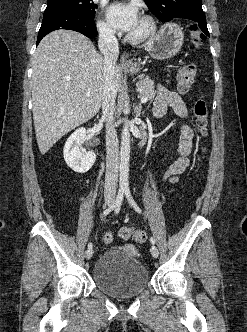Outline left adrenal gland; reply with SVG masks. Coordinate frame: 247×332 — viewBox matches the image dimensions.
<instances>
[{
	"mask_svg": "<svg viewBox=\"0 0 247 332\" xmlns=\"http://www.w3.org/2000/svg\"><path fill=\"white\" fill-rule=\"evenodd\" d=\"M142 106L141 104L138 105L137 107V115L139 116L141 114Z\"/></svg>",
	"mask_w": 247,
	"mask_h": 332,
	"instance_id": "1",
	"label": "left adrenal gland"
}]
</instances>
